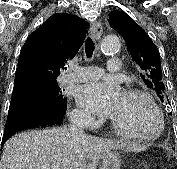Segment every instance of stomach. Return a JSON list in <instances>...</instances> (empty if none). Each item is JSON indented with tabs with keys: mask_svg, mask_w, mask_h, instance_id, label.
Segmentation results:
<instances>
[{
	"mask_svg": "<svg viewBox=\"0 0 177 169\" xmlns=\"http://www.w3.org/2000/svg\"><path fill=\"white\" fill-rule=\"evenodd\" d=\"M121 158L117 152L110 150L103 157L100 169H120Z\"/></svg>",
	"mask_w": 177,
	"mask_h": 169,
	"instance_id": "obj_1",
	"label": "stomach"
}]
</instances>
